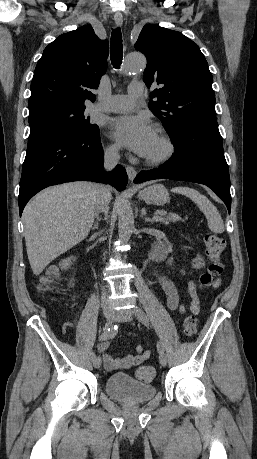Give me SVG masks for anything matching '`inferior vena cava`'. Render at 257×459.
<instances>
[{
	"label": "inferior vena cava",
	"instance_id": "inferior-vena-cava-1",
	"mask_svg": "<svg viewBox=\"0 0 257 459\" xmlns=\"http://www.w3.org/2000/svg\"><path fill=\"white\" fill-rule=\"evenodd\" d=\"M119 161V153L117 148H109L104 152V168L106 170H112ZM109 194L107 188L104 185L98 186L97 198H96V211L103 212L105 215L108 213ZM110 304V300L107 299L106 291L103 289L102 292V305L106 306Z\"/></svg>",
	"mask_w": 257,
	"mask_h": 459
}]
</instances>
